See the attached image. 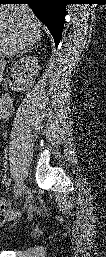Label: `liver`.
Wrapping results in <instances>:
<instances>
[{"mask_svg": "<svg viewBox=\"0 0 106 257\" xmlns=\"http://www.w3.org/2000/svg\"><path fill=\"white\" fill-rule=\"evenodd\" d=\"M41 23L27 5L0 7V57L13 56L42 37Z\"/></svg>", "mask_w": 106, "mask_h": 257, "instance_id": "obj_1", "label": "liver"}]
</instances>
